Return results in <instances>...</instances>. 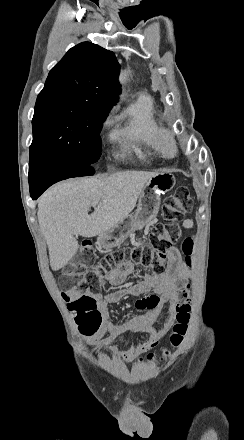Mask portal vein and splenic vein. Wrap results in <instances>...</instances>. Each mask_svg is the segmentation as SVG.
I'll list each match as a JSON object with an SVG mask.
<instances>
[{
    "label": "portal vein and splenic vein",
    "mask_w": 244,
    "mask_h": 440,
    "mask_svg": "<svg viewBox=\"0 0 244 440\" xmlns=\"http://www.w3.org/2000/svg\"><path fill=\"white\" fill-rule=\"evenodd\" d=\"M97 204H99V202H95L94 206H97Z\"/></svg>",
    "instance_id": "obj_1"
}]
</instances>
